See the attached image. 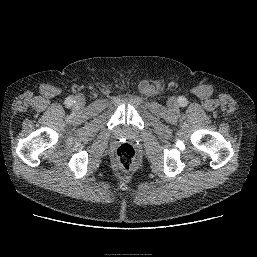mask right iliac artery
<instances>
[{"mask_svg":"<svg viewBox=\"0 0 257 257\" xmlns=\"http://www.w3.org/2000/svg\"><path fill=\"white\" fill-rule=\"evenodd\" d=\"M74 102H75V101H74V99H73L72 97H68V98L66 99V104H67L68 106L73 105Z\"/></svg>","mask_w":257,"mask_h":257,"instance_id":"right-iliac-artery-1","label":"right iliac artery"}]
</instances>
